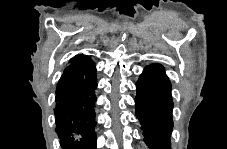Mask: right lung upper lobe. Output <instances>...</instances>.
<instances>
[{
	"mask_svg": "<svg viewBox=\"0 0 227 149\" xmlns=\"http://www.w3.org/2000/svg\"><path fill=\"white\" fill-rule=\"evenodd\" d=\"M85 57H87V56L77 55V56H75L74 58H72V59L70 60V62L72 63V62H74V61H76V60H79V59H82V58H85Z\"/></svg>",
	"mask_w": 227,
	"mask_h": 149,
	"instance_id": "1",
	"label": "right lung upper lobe"
}]
</instances>
